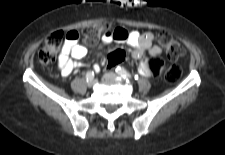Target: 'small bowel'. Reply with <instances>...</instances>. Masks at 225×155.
Returning a JSON list of instances; mask_svg holds the SVG:
<instances>
[{"mask_svg":"<svg viewBox=\"0 0 225 155\" xmlns=\"http://www.w3.org/2000/svg\"><path fill=\"white\" fill-rule=\"evenodd\" d=\"M82 33L78 29H70L66 33V41L58 58V68L63 76H69L80 65L79 61L86 55L87 49L79 44ZM103 44L125 42L132 47V57L139 61V73L151 77L147 66L149 57H158L162 49L155 43V35L151 32L140 33L118 27L102 36ZM148 54V56H147ZM97 70V67L95 68Z\"/></svg>","mask_w":225,"mask_h":155,"instance_id":"c3829d8e","label":"small bowel"}]
</instances>
